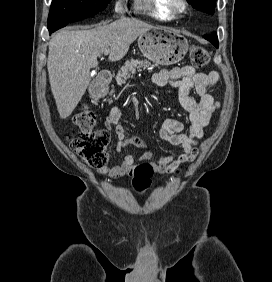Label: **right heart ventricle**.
<instances>
[{"instance_id": "1", "label": "right heart ventricle", "mask_w": 272, "mask_h": 282, "mask_svg": "<svg viewBox=\"0 0 272 282\" xmlns=\"http://www.w3.org/2000/svg\"><path fill=\"white\" fill-rule=\"evenodd\" d=\"M136 11H148L152 17L160 21H171L174 16L170 10L166 7V0H136ZM139 5H146L145 10L139 7Z\"/></svg>"}]
</instances>
